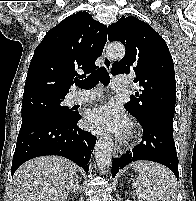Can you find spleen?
Returning a JSON list of instances; mask_svg holds the SVG:
<instances>
[{"label": "spleen", "mask_w": 196, "mask_h": 201, "mask_svg": "<svg viewBox=\"0 0 196 201\" xmlns=\"http://www.w3.org/2000/svg\"><path fill=\"white\" fill-rule=\"evenodd\" d=\"M133 168L139 172L134 183L138 201H176V178L169 169L149 161L136 162Z\"/></svg>", "instance_id": "obj_1"}]
</instances>
